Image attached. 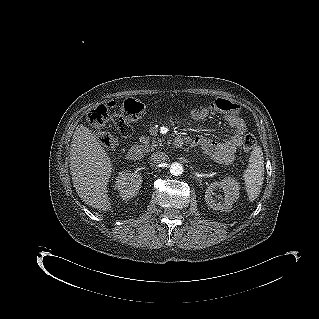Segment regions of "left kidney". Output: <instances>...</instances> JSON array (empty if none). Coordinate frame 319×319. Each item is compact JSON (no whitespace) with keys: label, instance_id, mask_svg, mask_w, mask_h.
<instances>
[{"label":"left kidney","instance_id":"left-kidney-1","mask_svg":"<svg viewBox=\"0 0 319 319\" xmlns=\"http://www.w3.org/2000/svg\"><path fill=\"white\" fill-rule=\"evenodd\" d=\"M239 190V183L234 178L226 177L220 182L210 184L205 192V201L213 210L229 211L239 198ZM221 192L224 193V197Z\"/></svg>","mask_w":319,"mask_h":319}]
</instances>
